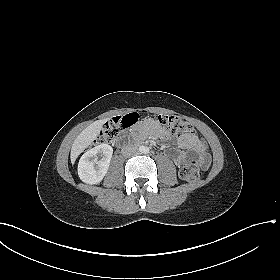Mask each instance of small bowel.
Instances as JSON below:
<instances>
[{
	"mask_svg": "<svg viewBox=\"0 0 280 280\" xmlns=\"http://www.w3.org/2000/svg\"><path fill=\"white\" fill-rule=\"evenodd\" d=\"M144 124L146 126H150V127L154 128V133L156 135L163 136V137L167 136L165 133L156 129L153 126V123L151 121L146 120L144 122ZM140 136H142V134H140ZM178 144L183 149L194 150L197 153V155L199 157V161L204 168H207L209 166L210 157H209V154L207 153V146H206L205 142L203 140H201L197 135H195V134L182 135L178 138ZM186 159H187L186 155H179L175 161L178 166H181L182 164H184L186 162Z\"/></svg>",
	"mask_w": 280,
	"mask_h": 280,
	"instance_id": "obj_1",
	"label": "small bowel"
}]
</instances>
